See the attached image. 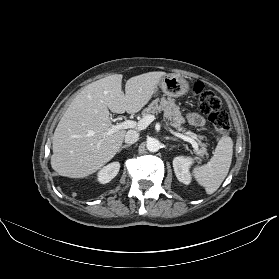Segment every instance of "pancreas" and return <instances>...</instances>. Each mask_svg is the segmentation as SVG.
<instances>
[{
    "mask_svg": "<svg viewBox=\"0 0 279 279\" xmlns=\"http://www.w3.org/2000/svg\"><path fill=\"white\" fill-rule=\"evenodd\" d=\"M164 112V117L170 121V125L174 127L179 132H185V129L182 127V124L185 122V119L181 116L180 108L176 105L173 99L161 98L152 101L147 108L142 111V116L145 117L150 114H158ZM185 134L193 139L198 141L202 140V136H198L190 131L185 132ZM201 149L199 150L200 154H207V149L205 144H200Z\"/></svg>",
    "mask_w": 279,
    "mask_h": 279,
    "instance_id": "pancreas-1",
    "label": "pancreas"
}]
</instances>
